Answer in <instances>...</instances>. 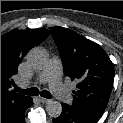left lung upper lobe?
I'll return each instance as SVG.
<instances>
[{
	"label": "left lung upper lobe",
	"mask_w": 123,
	"mask_h": 123,
	"mask_svg": "<svg viewBox=\"0 0 123 123\" xmlns=\"http://www.w3.org/2000/svg\"><path fill=\"white\" fill-rule=\"evenodd\" d=\"M50 31L63 60L65 74L77 82L70 108L98 121L112 90L113 63L101 46L76 32L59 26Z\"/></svg>",
	"instance_id": "obj_1"
}]
</instances>
